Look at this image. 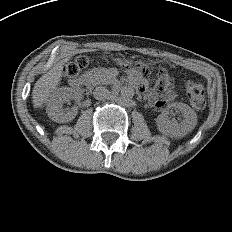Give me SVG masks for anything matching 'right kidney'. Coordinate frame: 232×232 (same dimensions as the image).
I'll return each instance as SVG.
<instances>
[{
  "label": "right kidney",
  "instance_id": "1",
  "mask_svg": "<svg viewBox=\"0 0 232 232\" xmlns=\"http://www.w3.org/2000/svg\"><path fill=\"white\" fill-rule=\"evenodd\" d=\"M76 97V92L69 87L53 91L48 100L46 112L48 117L57 123H68L77 115V108L64 109L63 104Z\"/></svg>",
  "mask_w": 232,
  "mask_h": 232
}]
</instances>
